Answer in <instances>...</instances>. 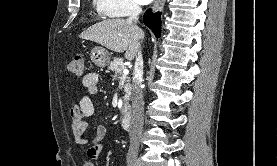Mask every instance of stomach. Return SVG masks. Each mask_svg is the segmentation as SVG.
Returning <instances> with one entry per match:
<instances>
[{
  "label": "stomach",
  "mask_w": 277,
  "mask_h": 166,
  "mask_svg": "<svg viewBox=\"0 0 277 166\" xmlns=\"http://www.w3.org/2000/svg\"><path fill=\"white\" fill-rule=\"evenodd\" d=\"M91 61L98 67L104 68L110 62V53L100 46H95L90 53Z\"/></svg>",
  "instance_id": "obj_1"
}]
</instances>
